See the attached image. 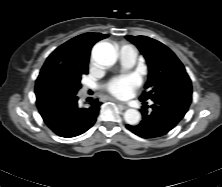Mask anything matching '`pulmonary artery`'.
Listing matches in <instances>:
<instances>
[{"mask_svg":"<svg viewBox=\"0 0 222 187\" xmlns=\"http://www.w3.org/2000/svg\"><path fill=\"white\" fill-rule=\"evenodd\" d=\"M136 50L129 45L122 46L120 49V58L125 69L133 67L136 62Z\"/></svg>","mask_w":222,"mask_h":187,"instance_id":"e3ab8cb5","label":"pulmonary artery"}]
</instances>
